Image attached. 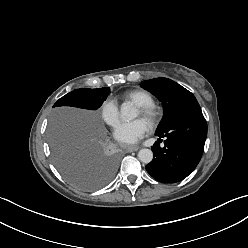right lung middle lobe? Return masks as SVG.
I'll return each instance as SVG.
<instances>
[{"mask_svg":"<svg viewBox=\"0 0 248 248\" xmlns=\"http://www.w3.org/2000/svg\"><path fill=\"white\" fill-rule=\"evenodd\" d=\"M110 88L76 89L60 98L53 107L73 106L96 110L106 100ZM92 119L77 120L68 128L55 126L50 132V148L60 173L74 186L84 190L104 187L117 168L113 157L98 153L101 134Z\"/></svg>","mask_w":248,"mask_h":248,"instance_id":"dd1d6c3e","label":"right lung middle lobe"}]
</instances>
